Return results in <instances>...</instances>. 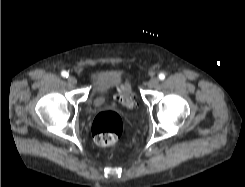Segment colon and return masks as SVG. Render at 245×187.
I'll return each instance as SVG.
<instances>
[{"mask_svg": "<svg viewBox=\"0 0 245 187\" xmlns=\"http://www.w3.org/2000/svg\"><path fill=\"white\" fill-rule=\"evenodd\" d=\"M118 102L125 108L134 105L130 84L126 82L118 93ZM123 131V123L120 116L114 112L99 113L92 124V135L95 142L102 147H113Z\"/></svg>", "mask_w": 245, "mask_h": 187, "instance_id": "obj_1", "label": "colon"}]
</instances>
